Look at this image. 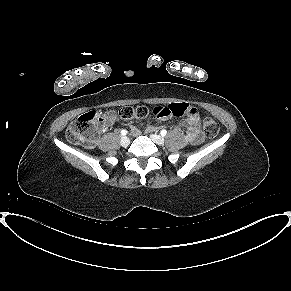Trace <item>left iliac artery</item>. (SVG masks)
I'll return each instance as SVG.
<instances>
[{
  "instance_id": "44dca946",
  "label": "left iliac artery",
  "mask_w": 291,
  "mask_h": 291,
  "mask_svg": "<svg viewBox=\"0 0 291 291\" xmlns=\"http://www.w3.org/2000/svg\"><path fill=\"white\" fill-rule=\"evenodd\" d=\"M160 134H161L162 136H165V135L167 134V131H166L165 129H163V130H161Z\"/></svg>"
}]
</instances>
